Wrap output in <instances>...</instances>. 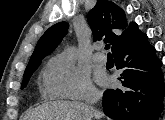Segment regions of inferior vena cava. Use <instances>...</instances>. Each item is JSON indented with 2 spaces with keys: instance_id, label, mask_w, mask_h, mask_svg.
<instances>
[{
  "instance_id": "inferior-vena-cava-1",
  "label": "inferior vena cava",
  "mask_w": 165,
  "mask_h": 120,
  "mask_svg": "<svg viewBox=\"0 0 165 120\" xmlns=\"http://www.w3.org/2000/svg\"><path fill=\"white\" fill-rule=\"evenodd\" d=\"M101 94L99 92H91L88 99H87V103L88 106L90 108V110H93L92 105H94L95 103H97L99 101V99L101 98Z\"/></svg>"
}]
</instances>
